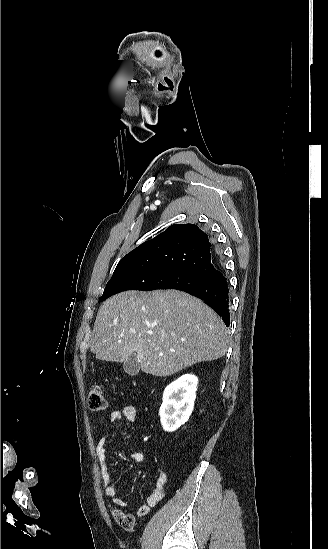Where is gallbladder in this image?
Returning a JSON list of instances; mask_svg holds the SVG:
<instances>
[{"label":"gallbladder","mask_w":328,"mask_h":549,"mask_svg":"<svg viewBox=\"0 0 328 549\" xmlns=\"http://www.w3.org/2000/svg\"><path fill=\"white\" fill-rule=\"evenodd\" d=\"M123 369L127 375H131V377H135V375H138L140 371V365L138 363L137 355L133 353V355H130L129 359L123 363Z\"/></svg>","instance_id":"gallbladder-1"}]
</instances>
